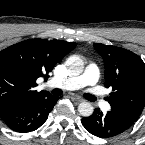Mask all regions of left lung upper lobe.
<instances>
[{"mask_svg":"<svg viewBox=\"0 0 145 145\" xmlns=\"http://www.w3.org/2000/svg\"><path fill=\"white\" fill-rule=\"evenodd\" d=\"M105 64V85L113 92L107 97L108 112L126 127H131L145 106V63L124 48L95 43Z\"/></svg>","mask_w":145,"mask_h":145,"instance_id":"left-lung-upper-lobe-1","label":"left lung upper lobe"}]
</instances>
